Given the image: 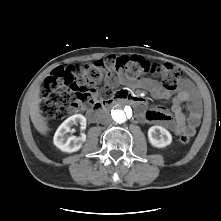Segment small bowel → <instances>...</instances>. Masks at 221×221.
Masks as SVG:
<instances>
[{"instance_id": "1", "label": "small bowel", "mask_w": 221, "mask_h": 221, "mask_svg": "<svg viewBox=\"0 0 221 221\" xmlns=\"http://www.w3.org/2000/svg\"><path fill=\"white\" fill-rule=\"evenodd\" d=\"M106 84L110 87L120 84H128L132 87L143 86L157 99L172 98L171 111L173 116H171L169 111L164 107H154L145 108L140 113V118L147 122L163 124L169 127L176 135L188 133L193 136L196 133L201 120L202 103L198 92L188 80H183L178 89L174 91L164 88L155 80H130L122 72L118 71L116 73H110L106 77ZM93 99L99 100L97 91L94 93ZM183 103L187 104V115L182 111Z\"/></svg>"}]
</instances>
